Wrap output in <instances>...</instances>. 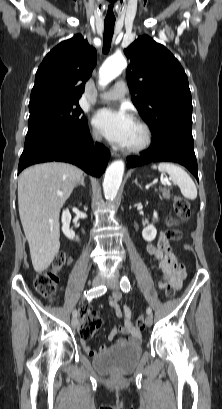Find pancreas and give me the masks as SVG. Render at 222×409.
I'll use <instances>...</instances> for the list:
<instances>
[{
    "mask_svg": "<svg viewBox=\"0 0 222 409\" xmlns=\"http://www.w3.org/2000/svg\"><path fill=\"white\" fill-rule=\"evenodd\" d=\"M159 191L163 195L164 198H166V199L170 198V189L161 188Z\"/></svg>",
    "mask_w": 222,
    "mask_h": 409,
    "instance_id": "pancreas-1",
    "label": "pancreas"
}]
</instances>
